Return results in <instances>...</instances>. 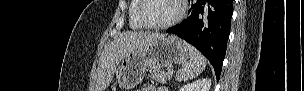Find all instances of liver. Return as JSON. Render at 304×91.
<instances>
[{
    "label": "liver",
    "instance_id": "liver-1",
    "mask_svg": "<svg viewBox=\"0 0 304 91\" xmlns=\"http://www.w3.org/2000/svg\"><path fill=\"white\" fill-rule=\"evenodd\" d=\"M164 36L159 33L125 32L107 46L100 58L95 91H104L111 83L120 60L128 53L146 46L153 38Z\"/></svg>",
    "mask_w": 304,
    "mask_h": 91
}]
</instances>
